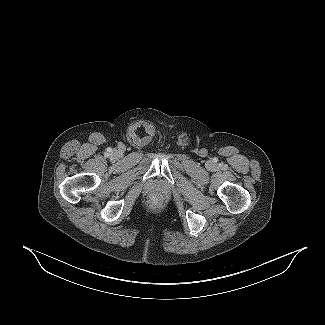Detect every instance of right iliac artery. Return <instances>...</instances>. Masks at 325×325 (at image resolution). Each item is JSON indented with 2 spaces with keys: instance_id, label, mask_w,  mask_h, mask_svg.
<instances>
[{
  "instance_id": "obj_1",
  "label": "right iliac artery",
  "mask_w": 325,
  "mask_h": 325,
  "mask_svg": "<svg viewBox=\"0 0 325 325\" xmlns=\"http://www.w3.org/2000/svg\"><path fill=\"white\" fill-rule=\"evenodd\" d=\"M108 152H111V149L110 148H108V150H107Z\"/></svg>"
}]
</instances>
